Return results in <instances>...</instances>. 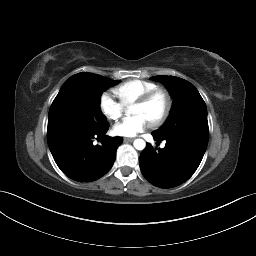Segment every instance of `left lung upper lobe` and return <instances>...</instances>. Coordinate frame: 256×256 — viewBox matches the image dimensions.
Masks as SVG:
<instances>
[{
    "label": "left lung upper lobe",
    "instance_id": "obj_1",
    "mask_svg": "<svg viewBox=\"0 0 256 256\" xmlns=\"http://www.w3.org/2000/svg\"><path fill=\"white\" fill-rule=\"evenodd\" d=\"M163 83L173 98L170 115L153 134L161 139L183 136L208 144L207 109L197 89L188 81L175 76H154Z\"/></svg>",
    "mask_w": 256,
    "mask_h": 256
}]
</instances>
